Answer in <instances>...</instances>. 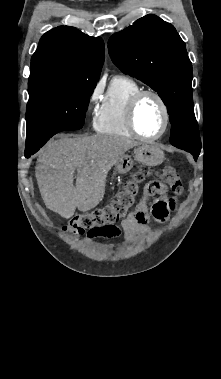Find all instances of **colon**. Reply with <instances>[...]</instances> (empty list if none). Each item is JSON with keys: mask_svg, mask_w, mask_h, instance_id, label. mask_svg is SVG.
<instances>
[{"mask_svg": "<svg viewBox=\"0 0 221 379\" xmlns=\"http://www.w3.org/2000/svg\"><path fill=\"white\" fill-rule=\"evenodd\" d=\"M146 177V172L138 171L134 173L124 183L122 190L111 204L92 212L76 214L64 226V232L76 236L84 233L100 235L115 228L119 221L128 217L130 210L136 202L140 185ZM159 179L149 183L147 186L164 189L166 185L170 190H179L181 193V178L174 167H164L159 173Z\"/></svg>", "mask_w": 221, "mask_h": 379, "instance_id": "colon-1", "label": "colon"}]
</instances>
